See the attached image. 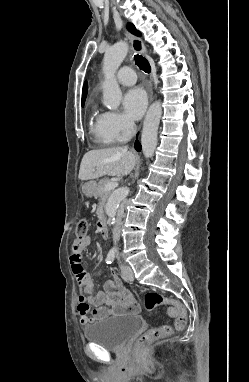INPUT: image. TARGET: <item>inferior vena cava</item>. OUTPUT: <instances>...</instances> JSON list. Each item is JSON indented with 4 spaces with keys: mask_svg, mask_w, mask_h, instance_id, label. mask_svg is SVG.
<instances>
[{
    "mask_svg": "<svg viewBox=\"0 0 249 382\" xmlns=\"http://www.w3.org/2000/svg\"><path fill=\"white\" fill-rule=\"evenodd\" d=\"M132 131H135V124L132 122L130 124ZM125 150H127V146L124 147ZM123 216V209L118 210L117 219L115 221V226L113 228V241L116 244L119 241L120 238V224H121V218ZM118 255V253H117Z\"/></svg>",
    "mask_w": 249,
    "mask_h": 382,
    "instance_id": "inferior-vena-cava-1",
    "label": "inferior vena cava"
}]
</instances>
